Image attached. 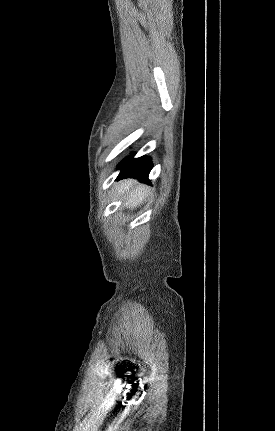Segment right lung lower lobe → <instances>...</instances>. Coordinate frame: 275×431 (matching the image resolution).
Returning <instances> with one entry per match:
<instances>
[{"instance_id": "1", "label": "right lung lower lobe", "mask_w": 275, "mask_h": 431, "mask_svg": "<svg viewBox=\"0 0 275 431\" xmlns=\"http://www.w3.org/2000/svg\"><path fill=\"white\" fill-rule=\"evenodd\" d=\"M153 164L149 157L143 156L140 158H133V155L125 158L118 166L121 169L120 174L116 180L124 178H135L140 182L150 183L148 175L152 169Z\"/></svg>"}]
</instances>
